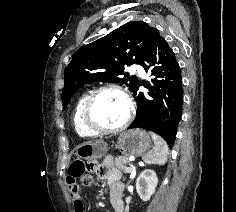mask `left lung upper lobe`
<instances>
[{
	"mask_svg": "<svg viewBox=\"0 0 236 212\" xmlns=\"http://www.w3.org/2000/svg\"><path fill=\"white\" fill-rule=\"evenodd\" d=\"M152 29L143 21H131L81 47L65 70L63 109L73 94L87 83H122L134 91L140 82L137 76H129L124 70L142 63Z\"/></svg>",
	"mask_w": 236,
	"mask_h": 212,
	"instance_id": "left-lung-upper-lobe-1",
	"label": "left lung upper lobe"
}]
</instances>
